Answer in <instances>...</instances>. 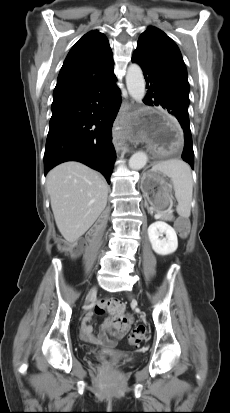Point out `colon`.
Instances as JSON below:
<instances>
[{
  "mask_svg": "<svg viewBox=\"0 0 230 413\" xmlns=\"http://www.w3.org/2000/svg\"><path fill=\"white\" fill-rule=\"evenodd\" d=\"M175 226L180 236L187 235L189 227H188V222L185 218H179L176 221ZM59 247L67 253H70V254L76 253L74 247L67 242H59ZM105 311H108L109 313L113 315H120L124 312L123 303L117 298L101 300L96 304L95 312L98 314H101ZM145 336H146V328L144 326L139 325L133 329L129 337V341L133 345H138L140 342L144 340Z\"/></svg>",
  "mask_w": 230,
  "mask_h": 413,
  "instance_id": "5ec220e1",
  "label": "colon"
}]
</instances>
